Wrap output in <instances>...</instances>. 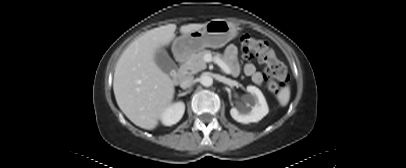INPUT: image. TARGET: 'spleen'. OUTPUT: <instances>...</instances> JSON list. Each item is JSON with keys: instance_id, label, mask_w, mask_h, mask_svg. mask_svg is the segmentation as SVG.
Returning <instances> with one entry per match:
<instances>
[{"instance_id": "spleen-1", "label": "spleen", "mask_w": 406, "mask_h": 168, "mask_svg": "<svg viewBox=\"0 0 406 168\" xmlns=\"http://www.w3.org/2000/svg\"><path fill=\"white\" fill-rule=\"evenodd\" d=\"M277 99L280 103L281 106H286L289 102L290 99V88L289 86H285L280 89V91L277 94Z\"/></svg>"}]
</instances>
